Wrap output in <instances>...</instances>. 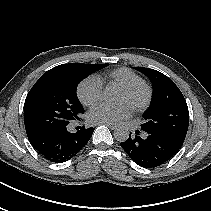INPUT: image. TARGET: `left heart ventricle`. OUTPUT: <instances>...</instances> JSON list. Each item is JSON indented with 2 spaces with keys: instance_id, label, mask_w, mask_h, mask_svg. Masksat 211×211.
<instances>
[{
  "instance_id": "b2bd125f",
  "label": "left heart ventricle",
  "mask_w": 211,
  "mask_h": 211,
  "mask_svg": "<svg viewBox=\"0 0 211 211\" xmlns=\"http://www.w3.org/2000/svg\"><path fill=\"white\" fill-rule=\"evenodd\" d=\"M120 103L129 104V98L123 91L120 96Z\"/></svg>"
}]
</instances>
